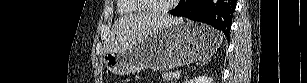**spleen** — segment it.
<instances>
[{
	"label": "spleen",
	"mask_w": 307,
	"mask_h": 83,
	"mask_svg": "<svg viewBox=\"0 0 307 83\" xmlns=\"http://www.w3.org/2000/svg\"><path fill=\"white\" fill-rule=\"evenodd\" d=\"M222 38H223V37H222V35H221V34H219V39H220V40H222Z\"/></svg>",
	"instance_id": "1"
}]
</instances>
